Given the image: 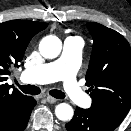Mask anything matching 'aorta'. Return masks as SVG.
<instances>
[{
  "label": "aorta",
  "mask_w": 131,
  "mask_h": 131,
  "mask_svg": "<svg viewBox=\"0 0 131 131\" xmlns=\"http://www.w3.org/2000/svg\"><path fill=\"white\" fill-rule=\"evenodd\" d=\"M62 49L61 40L53 35L44 37L39 44L41 55L47 59L56 58ZM56 117L61 121L70 120L73 116V109L67 103H60L55 108Z\"/></svg>",
  "instance_id": "1"
}]
</instances>
